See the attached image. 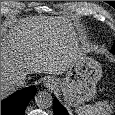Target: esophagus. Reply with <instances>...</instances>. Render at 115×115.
Listing matches in <instances>:
<instances>
[{
	"label": "esophagus",
	"mask_w": 115,
	"mask_h": 115,
	"mask_svg": "<svg viewBox=\"0 0 115 115\" xmlns=\"http://www.w3.org/2000/svg\"><path fill=\"white\" fill-rule=\"evenodd\" d=\"M56 85V82L54 81V79H47L45 82H44V86L48 89H53Z\"/></svg>",
	"instance_id": "obj_1"
}]
</instances>
